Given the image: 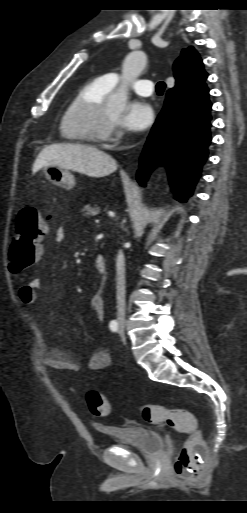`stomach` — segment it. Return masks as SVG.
I'll return each instance as SVG.
<instances>
[{
	"instance_id": "stomach-1",
	"label": "stomach",
	"mask_w": 247,
	"mask_h": 513,
	"mask_svg": "<svg viewBox=\"0 0 247 513\" xmlns=\"http://www.w3.org/2000/svg\"><path fill=\"white\" fill-rule=\"evenodd\" d=\"M46 178L54 185L65 189H73L76 185L73 174L59 166H47L44 168Z\"/></svg>"
}]
</instances>
